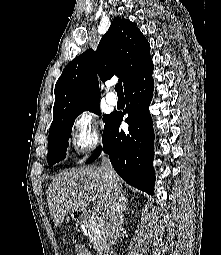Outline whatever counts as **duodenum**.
I'll return each mask as SVG.
<instances>
[{
  "label": "duodenum",
  "instance_id": "obj_1",
  "mask_svg": "<svg viewBox=\"0 0 221 255\" xmlns=\"http://www.w3.org/2000/svg\"><path fill=\"white\" fill-rule=\"evenodd\" d=\"M80 219H85V215H81L80 216ZM100 234V236H101V233H99ZM104 255H114L112 252H110V251H104Z\"/></svg>",
  "mask_w": 221,
  "mask_h": 255
}]
</instances>
